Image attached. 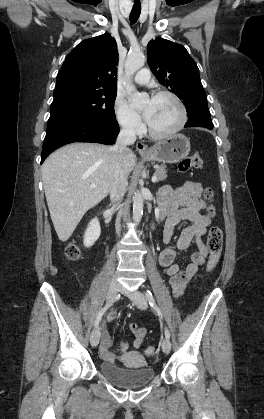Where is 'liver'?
<instances>
[{
	"mask_svg": "<svg viewBox=\"0 0 264 419\" xmlns=\"http://www.w3.org/2000/svg\"><path fill=\"white\" fill-rule=\"evenodd\" d=\"M114 146L72 143L51 154L42 165L50 216L61 241L73 234L84 214L103 200L114 181ZM136 164L129 149L122 165L128 176ZM91 184H95L91 188Z\"/></svg>",
	"mask_w": 264,
	"mask_h": 419,
	"instance_id": "obj_1",
	"label": "liver"
}]
</instances>
